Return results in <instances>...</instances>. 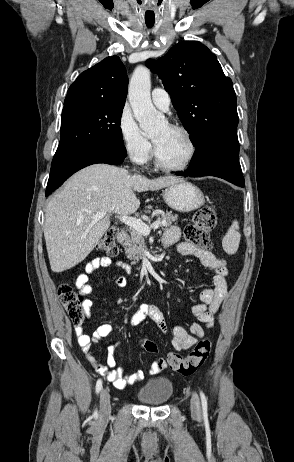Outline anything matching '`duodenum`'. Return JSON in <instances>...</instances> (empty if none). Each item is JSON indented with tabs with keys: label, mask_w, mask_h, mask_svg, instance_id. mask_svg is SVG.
Returning a JSON list of instances; mask_svg holds the SVG:
<instances>
[{
	"label": "duodenum",
	"mask_w": 294,
	"mask_h": 462,
	"mask_svg": "<svg viewBox=\"0 0 294 462\" xmlns=\"http://www.w3.org/2000/svg\"><path fill=\"white\" fill-rule=\"evenodd\" d=\"M116 238H117V241H118L120 244L126 243L127 240H128V233H127V231H126V230H120V231H118Z\"/></svg>",
	"instance_id": "1"
}]
</instances>
